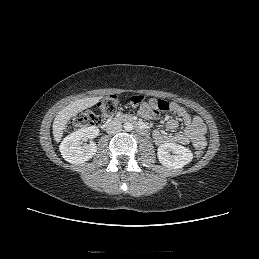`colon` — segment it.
I'll return each instance as SVG.
<instances>
[{"label":"colon","mask_w":259,"mask_h":259,"mask_svg":"<svg viewBox=\"0 0 259 259\" xmlns=\"http://www.w3.org/2000/svg\"><path fill=\"white\" fill-rule=\"evenodd\" d=\"M130 103L133 106L147 109L151 113L159 111H170L177 108V104L164 99H149L146 100L142 95H133L130 97ZM119 106V99L116 95H111L101 100L97 107L99 113L85 111L72 118L66 125V131L72 132L85 127L100 125L104 120L113 117ZM203 155L201 150L194 153L196 159H200Z\"/></svg>","instance_id":"5ec220e1"}]
</instances>
